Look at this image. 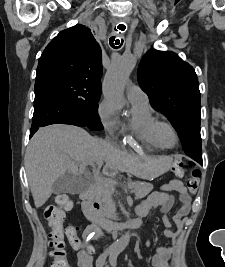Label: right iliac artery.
<instances>
[{
	"label": "right iliac artery",
	"mask_w": 225,
	"mask_h": 267,
	"mask_svg": "<svg viewBox=\"0 0 225 267\" xmlns=\"http://www.w3.org/2000/svg\"><path fill=\"white\" fill-rule=\"evenodd\" d=\"M94 234V233H93ZM112 253V250H107L104 253H102L98 259L96 260V267H103V265L105 264V261L108 257V255Z\"/></svg>",
	"instance_id": "82829eb1"
}]
</instances>
